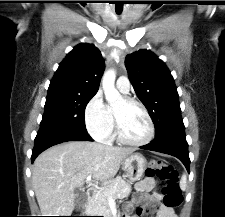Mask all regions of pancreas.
<instances>
[{"instance_id":"pancreas-1","label":"pancreas","mask_w":225,"mask_h":217,"mask_svg":"<svg viewBox=\"0 0 225 217\" xmlns=\"http://www.w3.org/2000/svg\"><path fill=\"white\" fill-rule=\"evenodd\" d=\"M131 192V184L121 176L113 179L103 190L97 192L88 203L87 210L97 216L112 217L109 199L125 198Z\"/></svg>"}]
</instances>
